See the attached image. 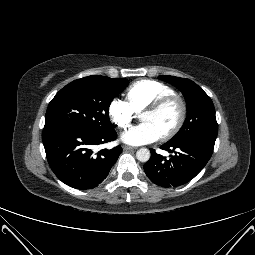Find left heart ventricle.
Returning <instances> with one entry per match:
<instances>
[{
	"label": "left heart ventricle",
	"mask_w": 255,
	"mask_h": 255,
	"mask_svg": "<svg viewBox=\"0 0 255 255\" xmlns=\"http://www.w3.org/2000/svg\"><path fill=\"white\" fill-rule=\"evenodd\" d=\"M178 116L179 105L172 102L158 112H143L140 120L151 124L162 135L176 123Z\"/></svg>",
	"instance_id": "1"
}]
</instances>
